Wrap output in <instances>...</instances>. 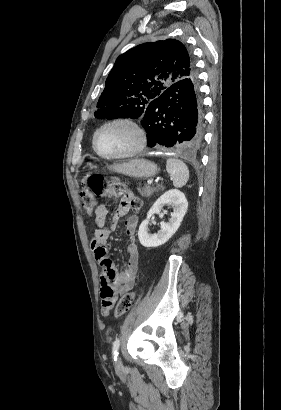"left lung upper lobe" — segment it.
I'll return each instance as SVG.
<instances>
[{
  "label": "left lung upper lobe",
  "instance_id": "left-lung-upper-lobe-1",
  "mask_svg": "<svg viewBox=\"0 0 281 410\" xmlns=\"http://www.w3.org/2000/svg\"><path fill=\"white\" fill-rule=\"evenodd\" d=\"M192 75H196L195 65L181 42L166 39L138 45L117 58L95 117L141 119L151 101Z\"/></svg>",
  "mask_w": 281,
  "mask_h": 410
}]
</instances>
